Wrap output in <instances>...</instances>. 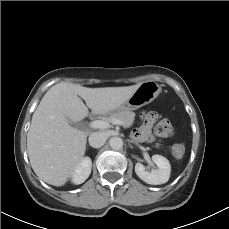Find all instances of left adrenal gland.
I'll use <instances>...</instances> for the list:
<instances>
[{
    "mask_svg": "<svg viewBox=\"0 0 229 229\" xmlns=\"http://www.w3.org/2000/svg\"><path fill=\"white\" fill-rule=\"evenodd\" d=\"M129 143H133V144H137L136 142H134L133 140H127Z\"/></svg>",
    "mask_w": 229,
    "mask_h": 229,
    "instance_id": "a2214340",
    "label": "left adrenal gland"
}]
</instances>
